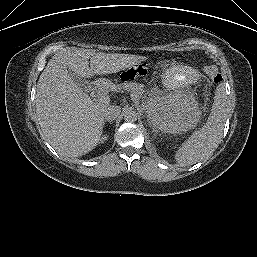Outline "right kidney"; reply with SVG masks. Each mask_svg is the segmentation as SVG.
<instances>
[{"instance_id":"1","label":"right kidney","mask_w":257,"mask_h":257,"mask_svg":"<svg viewBox=\"0 0 257 257\" xmlns=\"http://www.w3.org/2000/svg\"><path fill=\"white\" fill-rule=\"evenodd\" d=\"M105 140H107V136H104L101 141L103 142Z\"/></svg>"}]
</instances>
